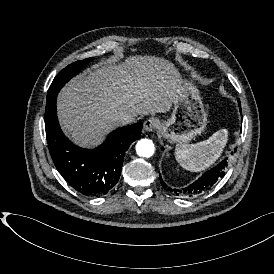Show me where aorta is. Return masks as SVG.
<instances>
[{
  "label": "aorta",
  "instance_id": "obj_1",
  "mask_svg": "<svg viewBox=\"0 0 274 274\" xmlns=\"http://www.w3.org/2000/svg\"><path fill=\"white\" fill-rule=\"evenodd\" d=\"M154 143L150 139H141L136 144V152L141 157H151L154 154Z\"/></svg>",
  "mask_w": 274,
  "mask_h": 274
}]
</instances>
